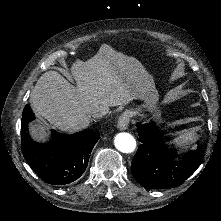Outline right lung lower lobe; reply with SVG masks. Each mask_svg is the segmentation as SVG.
Listing matches in <instances>:
<instances>
[{
	"instance_id": "98d812e1",
	"label": "right lung lower lobe",
	"mask_w": 221,
	"mask_h": 221,
	"mask_svg": "<svg viewBox=\"0 0 221 221\" xmlns=\"http://www.w3.org/2000/svg\"><path fill=\"white\" fill-rule=\"evenodd\" d=\"M35 119L29 105L23 110L21 146L32 170L46 183L65 185L78 179L88 165L90 153L100 136L92 131L73 135L51 131L52 140L38 143L31 139L28 124Z\"/></svg>"
}]
</instances>
